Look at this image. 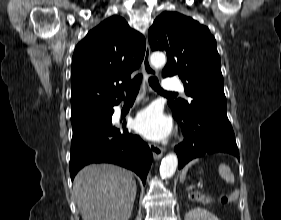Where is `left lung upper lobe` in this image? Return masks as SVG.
<instances>
[{
  "label": "left lung upper lobe",
  "mask_w": 281,
  "mask_h": 220,
  "mask_svg": "<svg viewBox=\"0 0 281 220\" xmlns=\"http://www.w3.org/2000/svg\"><path fill=\"white\" fill-rule=\"evenodd\" d=\"M153 51H165L163 77L178 75L190 102H169L172 110L192 115L205 109L227 111L221 60L216 40L206 26L177 12L158 16L148 32Z\"/></svg>",
  "instance_id": "obj_1"
}]
</instances>
